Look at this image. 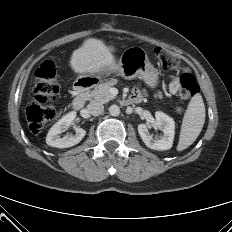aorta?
Returning <instances> with one entry per match:
<instances>
[{
	"label": "aorta",
	"instance_id": "aorta-1",
	"mask_svg": "<svg viewBox=\"0 0 232 232\" xmlns=\"http://www.w3.org/2000/svg\"><path fill=\"white\" fill-rule=\"evenodd\" d=\"M109 113L112 116H118L120 114V107L118 105H111L109 107Z\"/></svg>",
	"mask_w": 232,
	"mask_h": 232
}]
</instances>
